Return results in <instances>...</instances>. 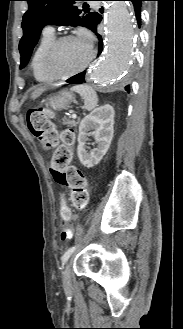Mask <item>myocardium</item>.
<instances>
[{
    "label": "myocardium",
    "mask_w": 183,
    "mask_h": 329,
    "mask_svg": "<svg viewBox=\"0 0 183 329\" xmlns=\"http://www.w3.org/2000/svg\"><path fill=\"white\" fill-rule=\"evenodd\" d=\"M74 38H77V37L74 35H71V34L60 36V37L54 39V41L50 44V46L46 50V53L44 55V60H43V66H44V70H45L46 74L50 77L51 80H63V79L73 77V76L83 72L94 59L95 51L91 46H89V49H90L89 56H88L86 62L81 67H79L78 69H76L74 71L64 73V74H56L53 72L51 63H52V59H53L55 52L57 51V49L59 48V46L62 43H64L67 40L74 39Z\"/></svg>",
    "instance_id": "myocardium-1"
}]
</instances>
